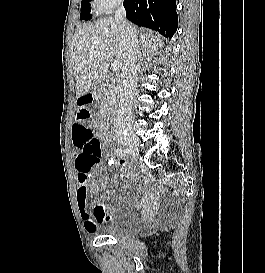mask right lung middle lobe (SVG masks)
I'll list each match as a JSON object with an SVG mask.
<instances>
[{
	"label": "right lung middle lobe",
	"mask_w": 265,
	"mask_h": 273,
	"mask_svg": "<svg viewBox=\"0 0 265 273\" xmlns=\"http://www.w3.org/2000/svg\"><path fill=\"white\" fill-rule=\"evenodd\" d=\"M91 0H82L81 2V14H80V19L82 20H89L90 17V11L91 7L89 5V2Z\"/></svg>",
	"instance_id": "dd1d6c3e"
}]
</instances>
